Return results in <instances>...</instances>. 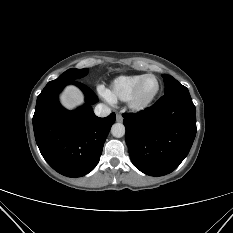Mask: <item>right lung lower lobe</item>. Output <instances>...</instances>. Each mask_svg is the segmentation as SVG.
I'll return each instance as SVG.
<instances>
[{
  "label": "right lung lower lobe",
  "mask_w": 233,
  "mask_h": 233,
  "mask_svg": "<svg viewBox=\"0 0 233 233\" xmlns=\"http://www.w3.org/2000/svg\"><path fill=\"white\" fill-rule=\"evenodd\" d=\"M67 84L85 93L86 104L75 111H67L58 101V94ZM97 101L95 93L76 80L48 83L37 98L33 116L36 143L46 162L64 176H84L100 159L115 113L97 117L91 107Z\"/></svg>",
  "instance_id": "obj_1"
}]
</instances>
